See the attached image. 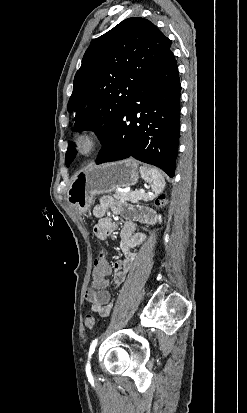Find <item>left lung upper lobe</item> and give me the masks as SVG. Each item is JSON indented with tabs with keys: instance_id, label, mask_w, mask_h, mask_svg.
I'll return each instance as SVG.
<instances>
[{
	"instance_id": "1",
	"label": "left lung upper lobe",
	"mask_w": 247,
	"mask_h": 413,
	"mask_svg": "<svg viewBox=\"0 0 247 413\" xmlns=\"http://www.w3.org/2000/svg\"><path fill=\"white\" fill-rule=\"evenodd\" d=\"M172 41L149 20H123L86 50L74 78L68 111L72 130H93L103 144L133 94L170 49ZM76 154L69 143L66 166Z\"/></svg>"
}]
</instances>
